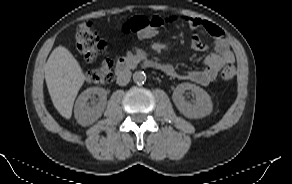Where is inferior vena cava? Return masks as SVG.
Here are the masks:
<instances>
[{"label": "inferior vena cava", "instance_id": "inferior-vena-cava-1", "mask_svg": "<svg viewBox=\"0 0 292 184\" xmlns=\"http://www.w3.org/2000/svg\"><path fill=\"white\" fill-rule=\"evenodd\" d=\"M131 74L132 73L129 69L120 71L117 75V84L121 86L127 85L131 79Z\"/></svg>", "mask_w": 292, "mask_h": 184}]
</instances>
